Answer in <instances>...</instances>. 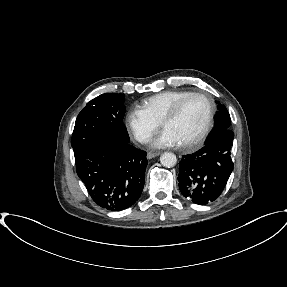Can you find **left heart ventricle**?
Returning a JSON list of instances; mask_svg holds the SVG:
<instances>
[{"label": "left heart ventricle", "instance_id": "obj_1", "mask_svg": "<svg viewBox=\"0 0 287 287\" xmlns=\"http://www.w3.org/2000/svg\"><path fill=\"white\" fill-rule=\"evenodd\" d=\"M207 117V105L202 98L189 99L172 120L163 124L164 129L170 130L180 143L194 139L202 131Z\"/></svg>", "mask_w": 287, "mask_h": 287}]
</instances>
